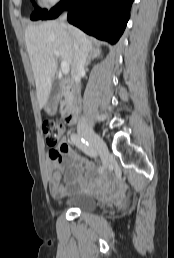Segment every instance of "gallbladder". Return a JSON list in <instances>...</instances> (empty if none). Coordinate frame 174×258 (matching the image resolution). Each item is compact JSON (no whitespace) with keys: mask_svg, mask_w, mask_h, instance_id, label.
<instances>
[{"mask_svg":"<svg viewBox=\"0 0 174 258\" xmlns=\"http://www.w3.org/2000/svg\"><path fill=\"white\" fill-rule=\"evenodd\" d=\"M60 93L61 87L59 83H56L53 86L49 102L46 106V111L50 116H54L56 114Z\"/></svg>","mask_w":174,"mask_h":258,"instance_id":"1","label":"gallbladder"}]
</instances>
